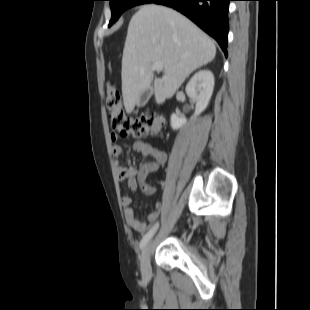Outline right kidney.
I'll list each match as a JSON object with an SVG mask.
<instances>
[{
	"instance_id": "ca27d5eb",
	"label": "right kidney",
	"mask_w": 310,
	"mask_h": 310,
	"mask_svg": "<svg viewBox=\"0 0 310 310\" xmlns=\"http://www.w3.org/2000/svg\"><path fill=\"white\" fill-rule=\"evenodd\" d=\"M214 89V75L208 70H200L193 75L186 85V93L196 102L193 119L198 117L208 106ZM187 120L176 114L171 115L170 124L173 130H178L186 125Z\"/></svg>"
}]
</instances>
